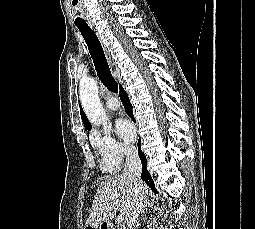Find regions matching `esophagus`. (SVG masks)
I'll return each mask as SVG.
<instances>
[{"label": "esophagus", "instance_id": "obj_1", "mask_svg": "<svg viewBox=\"0 0 255 229\" xmlns=\"http://www.w3.org/2000/svg\"><path fill=\"white\" fill-rule=\"evenodd\" d=\"M89 26L91 27V29L96 33L98 39L100 40L101 44H102V47H103V50H104V53L106 55V58L108 60V63L110 64V66H112V57L110 55V52L108 51L107 47L105 46V44L103 43L102 41V38L100 37V34L98 32V29L97 27L95 26V24L91 21L88 22Z\"/></svg>", "mask_w": 255, "mask_h": 229}]
</instances>
